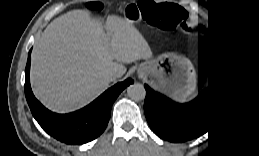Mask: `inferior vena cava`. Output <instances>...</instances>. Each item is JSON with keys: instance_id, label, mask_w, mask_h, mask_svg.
<instances>
[{"instance_id": "obj_1", "label": "inferior vena cava", "mask_w": 259, "mask_h": 156, "mask_svg": "<svg viewBox=\"0 0 259 156\" xmlns=\"http://www.w3.org/2000/svg\"><path fill=\"white\" fill-rule=\"evenodd\" d=\"M121 76V74L119 72H112L109 75V78L111 81L115 80L116 78H119Z\"/></svg>"}]
</instances>
